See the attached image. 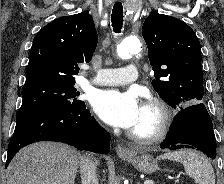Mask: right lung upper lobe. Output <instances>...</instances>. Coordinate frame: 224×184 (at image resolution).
Instances as JSON below:
<instances>
[{
  "label": "right lung upper lobe",
  "mask_w": 224,
  "mask_h": 184,
  "mask_svg": "<svg viewBox=\"0 0 224 184\" xmlns=\"http://www.w3.org/2000/svg\"><path fill=\"white\" fill-rule=\"evenodd\" d=\"M97 41L93 19L87 12L53 20L33 39L25 84L75 83L78 64L91 60Z\"/></svg>",
  "instance_id": "1"
}]
</instances>
